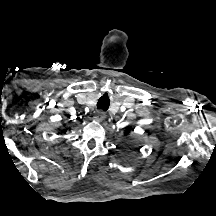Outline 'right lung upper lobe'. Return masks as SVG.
Listing matches in <instances>:
<instances>
[{
    "label": "right lung upper lobe",
    "instance_id": "right-lung-upper-lobe-1",
    "mask_svg": "<svg viewBox=\"0 0 216 216\" xmlns=\"http://www.w3.org/2000/svg\"><path fill=\"white\" fill-rule=\"evenodd\" d=\"M61 132H62V133H65V132H66V129L62 130Z\"/></svg>",
    "mask_w": 216,
    "mask_h": 216
}]
</instances>
